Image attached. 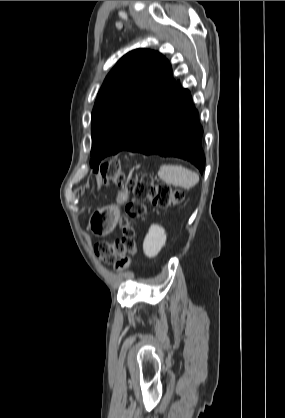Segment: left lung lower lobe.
<instances>
[{
	"label": "left lung lower lobe",
	"instance_id": "0a47b994",
	"mask_svg": "<svg viewBox=\"0 0 285 418\" xmlns=\"http://www.w3.org/2000/svg\"><path fill=\"white\" fill-rule=\"evenodd\" d=\"M202 134L190 92L177 81L123 150L182 158L203 171ZM107 156L100 154L102 159Z\"/></svg>",
	"mask_w": 285,
	"mask_h": 418
}]
</instances>
